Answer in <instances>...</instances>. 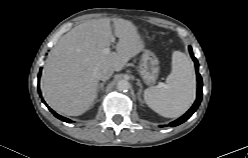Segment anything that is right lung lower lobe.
Returning a JSON list of instances; mask_svg holds the SVG:
<instances>
[{
    "instance_id": "right-lung-lower-lobe-1",
    "label": "right lung lower lobe",
    "mask_w": 248,
    "mask_h": 158,
    "mask_svg": "<svg viewBox=\"0 0 248 158\" xmlns=\"http://www.w3.org/2000/svg\"><path fill=\"white\" fill-rule=\"evenodd\" d=\"M40 72H41V70H40ZM38 78H39V76H38ZM38 90H39V88H38ZM40 96H41V93H40ZM42 101L44 102V100H42ZM44 103H45V102H44ZM49 109H50V108H49ZM50 111H51L57 118H59L60 120L65 121V122H71L70 119H67V118H65V117H62V116L58 115V114L55 113L52 109H50Z\"/></svg>"
}]
</instances>
